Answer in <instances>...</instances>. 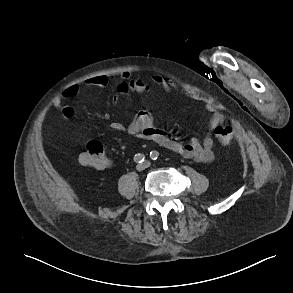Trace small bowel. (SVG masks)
<instances>
[{"label":"small bowel","mask_w":293,"mask_h":293,"mask_svg":"<svg viewBox=\"0 0 293 293\" xmlns=\"http://www.w3.org/2000/svg\"><path fill=\"white\" fill-rule=\"evenodd\" d=\"M152 81L166 91H170L175 88L173 82L169 78L162 75H154ZM108 82L109 79L107 77L99 76L89 79L86 82V85L91 87H104L108 84ZM116 86L119 93H126L129 90H147V85L142 79L131 78V75L127 72L121 74L120 80L117 82ZM79 90V85H71L53 101L54 107L60 109L66 118H72L74 116V109L67 105V101L77 95ZM182 92L192 99H199L198 95L190 90H182ZM112 101L113 103H116L118 101V96H115ZM206 109L211 112L209 134L202 141L196 138H192L188 141L178 140L168 131L155 126L152 115L145 111L139 112L127 126L120 122L113 121L110 123V127L117 132H128L130 135L140 140L153 141L171 151L179 153L186 158H190L198 162L210 163L215 157L213 151L214 139L211 132L223 122L224 117L210 105H206ZM110 165L111 162L109 160V166Z\"/></svg>","instance_id":"small-bowel-1"}]
</instances>
